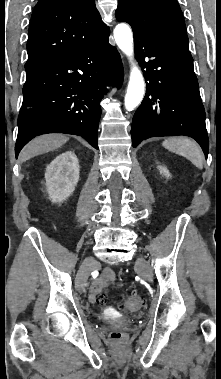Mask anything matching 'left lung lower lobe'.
I'll list each match as a JSON object with an SVG mask.
<instances>
[{"mask_svg": "<svg viewBox=\"0 0 221 379\" xmlns=\"http://www.w3.org/2000/svg\"><path fill=\"white\" fill-rule=\"evenodd\" d=\"M116 18L128 22L123 16ZM131 27L136 59L145 69L147 82L145 97L132 121L133 147L150 137L186 135L200 144L207 158L205 110L191 53Z\"/></svg>", "mask_w": 221, "mask_h": 379, "instance_id": "obj_1", "label": "left lung lower lobe"}]
</instances>
